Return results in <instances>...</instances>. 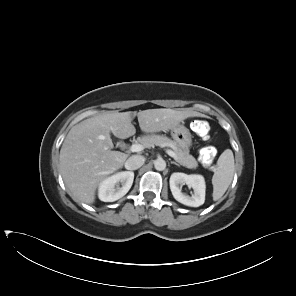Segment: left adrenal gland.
I'll return each mask as SVG.
<instances>
[{
    "instance_id": "1",
    "label": "left adrenal gland",
    "mask_w": 296,
    "mask_h": 296,
    "mask_svg": "<svg viewBox=\"0 0 296 296\" xmlns=\"http://www.w3.org/2000/svg\"><path fill=\"white\" fill-rule=\"evenodd\" d=\"M171 164H174V165L180 167V165L178 163L174 162V161H171Z\"/></svg>"
}]
</instances>
